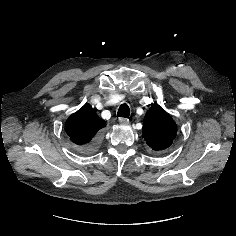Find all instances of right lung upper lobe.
<instances>
[{"mask_svg": "<svg viewBox=\"0 0 236 236\" xmlns=\"http://www.w3.org/2000/svg\"><path fill=\"white\" fill-rule=\"evenodd\" d=\"M105 126V120L95 113L90 104H85L67 119L65 131L73 143L83 146L93 142L97 132Z\"/></svg>", "mask_w": 236, "mask_h": 236, "instance_id": "cb5924a9", "label": "right lung upper lobe"}]
</instances>
